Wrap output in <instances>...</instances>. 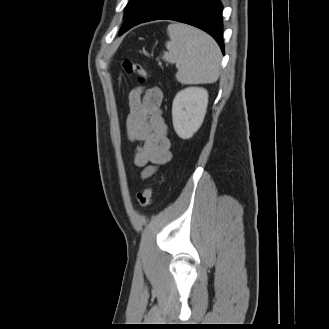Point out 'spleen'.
<instances>
[{"label": "spleen", "mask_w": 329, "mask_h": 329, "mask_svg": "<svg viewBox=\"0 0 329 329\" xmlns=\"http://www.w3.org/2000/svg\"><path fill=\"white\" fill-rule=\"evenodd\" d=\"M170 41L163 59L176 63V79L182 84L214 83L220 75L221 52L207 33L190 25L174 23L167 28Z\"/></svg>", "instance_id": "1"}]
</instances>
